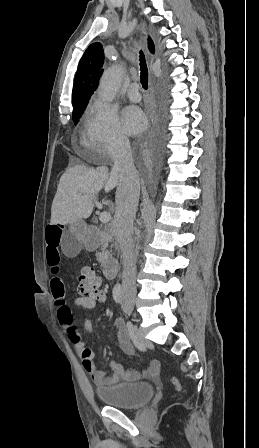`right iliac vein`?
<instances>
[{
	"instance_id": "1",
	"label": "right iliac vein",
	"mask_w": 259,
	"mask_h": 448,
	"mask_svg": "<svg viewBox=\"0 0 259 448\" xmlns=\"http://www.w3.org/2000/svg\"><path fill=\"white\" fill-rule=\"evenodd\" d=\"M126 304H127V306H128V308L131 310V312L134 310V306H135V303H134V301H127L126 302ZM135 316V315H134Z\"/></svg>"
}]
</instances>
